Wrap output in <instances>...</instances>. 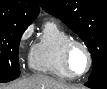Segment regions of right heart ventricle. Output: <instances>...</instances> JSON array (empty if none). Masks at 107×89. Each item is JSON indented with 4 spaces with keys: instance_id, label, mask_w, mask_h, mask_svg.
I'll return each instance as SVG.
<instances>
[{
    "instance_id": "right-heart-ventricle-1",
    "label": "right heart ventricle",
    "mask_w": 107,
    "mask_h": 89,
    "mask_svg": "<svg viewBox=\"0 0 107 89\" xmlns=\"http://www.w3.org/2000/svg\"><path fill=\"white\" fill-rule=\"evenodd\" d=\"M71 35L55 20H47L36 44L33 46L29 63L33 70L69 80L73 77L66 71L62 52Z\"/></svg>"
}]
</instances>
